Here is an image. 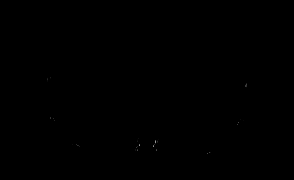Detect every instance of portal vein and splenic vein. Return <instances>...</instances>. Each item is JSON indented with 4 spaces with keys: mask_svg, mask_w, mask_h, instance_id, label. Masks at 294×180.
I'll return each mask as SVG.
<instances>
[{
    "mask_svg": "<svg viewBox=\"0 0 294 180\" xmlns=\"http://www.w3.org/2000/svg\"><path fill=\"white\" fill-rule=\"evenodd\" d=\"M132 72V70H129V69H122L120 71H116V72H112V73H109L108 76L106 78H112L114 76H117V75H121V74H127V73H130Z\"/></svg>",
    "mask_w": 294,
    "mask_h": 180,
    "instance_id": "portal-vein-and-splenic-vein-1",
    "label": "portal vein and splenic vein"
}]
</instances>
